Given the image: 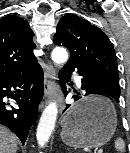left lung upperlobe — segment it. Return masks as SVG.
<instances>
[{
	"mask_svg": "<svg viewBox=\"0 0 130 153\" xmlns=\"http://www.w3.org/2000/svg\"><path fill=\"white\" fill-rule=\"evenodd\" d=\"M54 43L69 49L67 64L92 69L114 94L120 95L116 54L101 29L75 14H66L57 25Z\"/></svg>",
	"mask_w": 130,
	"mask_h": 153,
	"instance_id": "1",
	"label": "left lung upper lobe"
}]
</instances>
